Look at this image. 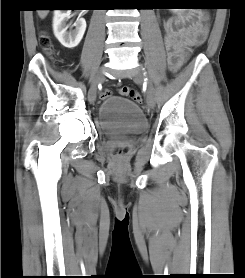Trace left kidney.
I'll return each instance as SVG.
<instances>
[{
  "instance_id": "left-kidney-1",
  "label": "left kidney",
  "mask_w": 245,
  "mask_h": 278,
  "mask_svg": "<svg viewBox=\"0 0 245 278\" xmlns=\"http://www.w3.org/2000/svg\"><path fill=\"white\" fill-rule=\"evenodd\" d=\"M172 11H174V12L183 11V9H172Z\"/></svg>"
}]
</instances>
